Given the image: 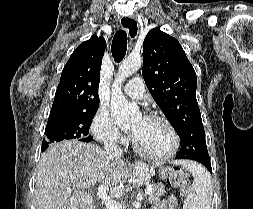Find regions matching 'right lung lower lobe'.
I'll list each match as a JSON object with an SVG mask.
<instances>
[{
    "instance_id": "98d812e1",
    "label": "right lung lower lobe",
    "mask_w": 253,
    "mask_h": 209,
    "mask_svg": "<svg viewBox=\"0 0 253 209\" xmlns=\"http://www.w3.org/2000/svg\"><path fill=\"white\" fill-rule=\"evenodd\" d=\"M93 140V138H91L88 142H90V141H92Z\"/></svg>"
}]
</instances>
